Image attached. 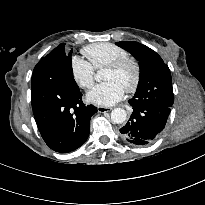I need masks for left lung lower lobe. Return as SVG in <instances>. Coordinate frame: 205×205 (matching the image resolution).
<instances>
[{
  "label": "left lung lower lobe",
  "instance_id": "1",
  "mask_svg": "<svg viewBox=\"0 0 205 205\" xmlns=\"http://www.w3.org/2000/svg\"><path fill=\"white\" fill-rule=\"evenodd\" d=\"M128 102L133 107V113L126 125L120 129L122 139L138 146L152 143L164 129L171 112L170 107Z\"/></svg>",
  "mask_w": 205,
  "mask_h": 205
}]
</instances>
